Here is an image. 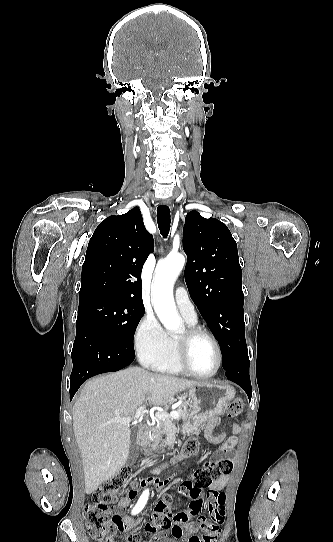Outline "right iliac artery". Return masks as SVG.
<instances>
[{
  "instance_id": "1",
  "label": "right iliac artery",
  "mask_w": 333,
  "mask_h": 542,
  "mask_svg": "<svg viewBox=\"0 0 333 542\" xmlns=\"http://www.w3.org/2000/svg\"><path fill=\"white\" fill-rule=\"evenodd\" d=\"M149 496V490H145L140 496L136 506L132 510V514L135 515L139 513L145 506Z\"/></svg>"
}]
</instances>
